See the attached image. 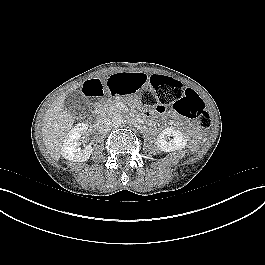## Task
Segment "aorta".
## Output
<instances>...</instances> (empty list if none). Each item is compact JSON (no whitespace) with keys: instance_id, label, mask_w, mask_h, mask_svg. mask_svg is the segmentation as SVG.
<instances>
[{"instance_id":"762f6f07","label":"aorta","mask_w":265,"mask_h":265,"mask_svg":"<svg viewBox=\"0 0 265 265\" xmlns=\"http://www.w3.org/2000/svg\"><path fill=\"white\" fill-rule=\"evenodd\" d=\"M111 122H112V124L115 125V126H119V125H121V124L124 122L123 115L120 114V113H114V114L111 116Z\"/></svg>"}]
</instances>
